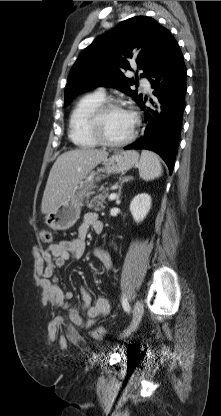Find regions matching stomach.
<instances>
[{
	"label": "stomach",
	"mask_w": 221,
	"mask_h": 416,
	"mask_svg": "<svg viewBox=\"0 0 221 416\" xmlns=\"http://www.w3.org/2000/svg\"><path fill=\"white\" fill-rule=\"evenodd\" d=\"M139 154L134 150L120 151L102 162L107 174L123 173L138 163ZM95 188L94 177L84 178L71 195L45 217V223L53 230L65 231L79 219L84 198Z\"/></svg>",
	"instance_id": "obj_1"
}]
</instances>
